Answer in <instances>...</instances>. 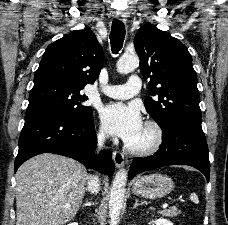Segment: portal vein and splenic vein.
Instances as JSON below:
<instances>
[{
    "label": "portal vein and splenic vein",
    "mask_w": 228,
    "mask_h": 225,
    "mask_svg": "<svg viewBox=\"0 0 228 225\" xmlns=\"http://www.w3.org/2000/svg\"><path fill=\"white\" fill-rule=\"evenodd\" d=\"M173 200V201H172ZM172 200H167L166 202H162L161 204V209H167L168 205H172L173 202H182L183 201V198L182 197H173ZM66 207H69V205H66Z\"/></svg>",
    "instance_id": "portal-vein-and-splenic-vein-1"
}]
</instances>
